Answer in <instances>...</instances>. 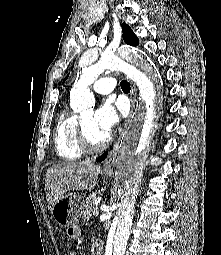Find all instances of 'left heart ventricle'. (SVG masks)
Returning a JSON list of instances; mask_svg holds the SVG:
<instances>
[{
	"label": "left heart ventricle",
	"instance_id": "left-heart-ventricle-1",
	"mask_svg": "<svg viewBox=\"0 0 221 255\" xmlns=\"http://www.w3.org/2000/svg\"><path fill=\"white\" fill-rule=\"evenodd\" d=\"M82 122L88 137L93 143L100 144L106 139L107 135L101 132L94 123L93 112L83 117Z\"/></svg>",
	"mask_w": 221,
	"mask_h": 255
}]
</instances>
